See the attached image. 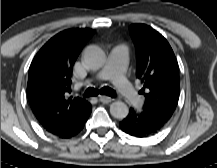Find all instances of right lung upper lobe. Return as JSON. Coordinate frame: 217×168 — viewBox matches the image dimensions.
<instances>
[{
	"label": "right lung upper lobe",
	"mask_w": 217,
	"mask_h": 168,
	"mask_svg": "<svg viewBox=\"0 0 217 168\" xmlns=\"http://www.w3.org/2000/svg\"><path fill=\"white\" fill-rule=\"evenodd\" d=\"M92 29H68L51 38L34 57L28 74L27 96L41 125L54 135L72 128L91 110L80 97L72 98L73 65Z\"/></svg>",
	"instance_id": "obj_1"
}]
</instances>
